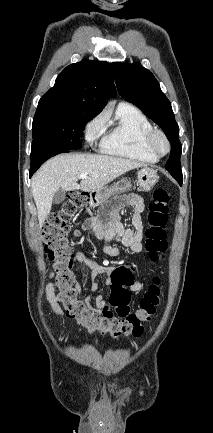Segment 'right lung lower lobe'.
<instances>
[{
  "instance_id": "obj_1",
  "label": "right lung lower lobe",
  "mask_w": 213,
  "mask_h": 433,
  "mask_svg": "<svg viewBox=\"0 0 213 433\" xmlns=\"http://www.w3.org/2000/svg\"><path fill=\"white\" fill-rule=\"evenodd\" d=\"M70 149L58 145H44L31 151L30 177L50 157L69 152Z\"/></svg>"
}]
</instances>
